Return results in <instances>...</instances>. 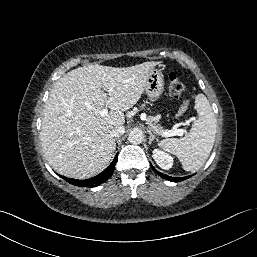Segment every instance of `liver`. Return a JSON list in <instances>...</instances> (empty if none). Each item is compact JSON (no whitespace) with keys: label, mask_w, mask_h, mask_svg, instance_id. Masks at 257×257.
<instances>
[{"label":"liver","mask_w":257,"mask_h":257,"mask_svg":"<svg viewBox=\"0 0 257 257\" xmlns=\"http://www.w3.org/2000/svg\"><path fill=\"white\" fill-rule=\"evenodd\" d=\"M160 63L126 68L91 64L61 77L45 104L40 132L50 166L75 179L90 178L105 169L116 148L110 132L123 126L124 111L138 102L151 70ZM104 106L111 111L102 117Z\"/></svg>","instance_id":"obj_1"}]
</instances>
